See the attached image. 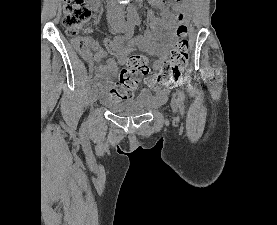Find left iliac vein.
<instances>
[{"instance_id":"obj_1","label":"left iliac vein","mask_w":277,"mask_h":225,"mask_svg":"<svg viewBox=\"0 0 277 225\" xmlns=\"http://www.w3.org/2000/svg\"><path fill=\"white\" fill-rule=\"evenodd\" d=\"M171 107H172L173 112H177L178 111L179 101L175 97H173L172 100H171Z\"/></svg>"}]
</instances>
